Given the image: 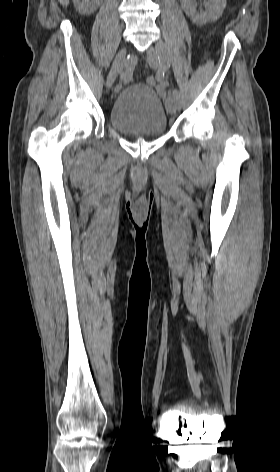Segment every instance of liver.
I'll return each instance as SVG.
<instances>
[{"mask_svg": "<svg viewBox=\"0 0 280 472\" xmlns=\"http://www.w3.org/2000/svg\"><path fill=\"white\" fill-rule=\"evenodd\" d=\"M59 2L62 4V5H65L67 6L69 4V0H59Z\"/></svg>", "mask_w": 280, "mask_h": 472, "instance_id": "6515ba94", "label": "liver"}]
</instances>
